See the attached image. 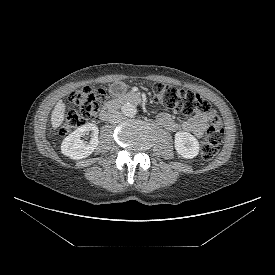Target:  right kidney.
I'll return each instance as SVG.
<instances>
[{"instance_id": "ca27d5eb", "label": "right kidney", "mask_w": 275, "mask_h": 275, "mask_svg": "<svg viewBox=\"0 0 275 275\" xmlns=\"http://www.w3.org/2000/svg\"><path fill=\"white\" fill-rule=\"evenodd\" d=\"M92 131L90 142L86 143L81 137ZM98 127L95 124H85L69 134L61 144V152L74 160H80L91 155L98 146Z\"/></svg>"}]
</instances>
